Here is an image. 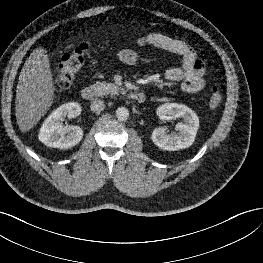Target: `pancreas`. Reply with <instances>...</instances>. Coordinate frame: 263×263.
<instances>
[{
    "mask_svg": "<svg viewBox=\"0 0 263 263\" xmlns=\"http://www.w3.org/2000/svg\"><path fill=\"white\" fill-rule=\"evenodd\" d=\"M93 87L96 89L99 96L103 95H118L122 92V89L113 83L96 82Z\"/></svg>",
    "mask_w": 263,
    "mask_h": 263,
    "instance_id": "pancreas-1",
    "label": "pancreas"
}]
</instances>
